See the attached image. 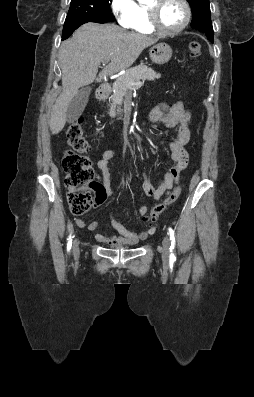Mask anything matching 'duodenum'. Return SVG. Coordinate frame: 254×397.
I'll list each match as a JSON object with an SVG mask.
<instances>
[{
    "mask_svg": "<svg viewBox=\"0 0 254 397\" xmlns=\"http://www.w3.org/2000/svg\"><path fill=\"white\" fill-rule=\"evenodd\" d=\"M108 91V86L105 84H102L99 86V88L97 89V96L100 98H103L106 96Z\"/></svg>",
    "mask_w": 254,
    "mask_h": 397,
    "instance_id": "1",
    "label": "duodenum"
}]
</instances>
